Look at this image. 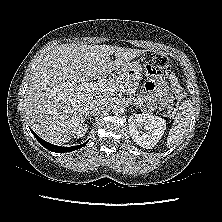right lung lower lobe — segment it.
Instances as JSON below:
<instances>
[{
	"mask_svg": "<svg viewBox=\"0 0 222 222\" xmlns=\"http://www.w3.org/2000/svg\"><path fill=\"white\" fill-rule=\"evenodd\" d=\"M31 130V129H30ZM31 132L33 133V135L36 137V139L38 140V142L40 144H42L45 148H47L48 150L50 151H53V152H56V153H64V152H70V151H74V150H77L79 148H82L85 146V144L88 143L85 142L81 145H78V146H73V147H61V146H56V145H53L51 143H48L46 142L45 140H43L42 138H40L36 133H34L32 130Z\"/></svg>",
	"mask_w": 222,
	"mask_h": 222,
	"instance_id": "obj_1",
	"label": "right lung lower lobe"
}]
</instances>
